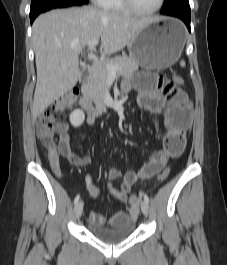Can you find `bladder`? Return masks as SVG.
I'll list each match as a JSON object with an SVG mask.
<instances>
[{
    "label": "bladder",
    "instance_id": "31cf9c89",
    "mask_svg": "<svg viewBox=\"0 0 227 265\" xmlns=\"http://www.w3.org/2000/svg\"><path fill=\"white\" fill-rule=\"evenodd\" d=\"M89 232L98 240L115 244L128 239L135 231V223L132 220L112 227H102L90 224Z\"/></svg>",
    "mask_w": 227,
    "mask_h": 265
}]
</instances>
